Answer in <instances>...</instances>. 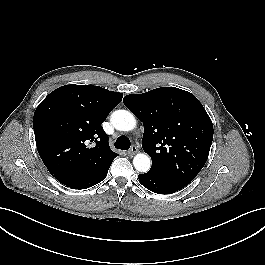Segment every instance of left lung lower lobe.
Instances as JSON below:
<instances>
[{"label": "left lung lower lobe", "mask_w": 265, "mask_h": 265, "mask_svg": "<svg viewBox=\"0 0 265 265\" xmlns=\"http://www.w3.org/2000/svg\"><path fill=\"white\" fill-rule=\"evenodd\" d=\"M140 183L148 190L158 194H169L181 190L186 185L172 180L160 173L148 171L138 176Z\"/></svg>", "instance_id": "0a47b994"}]
</instances>
